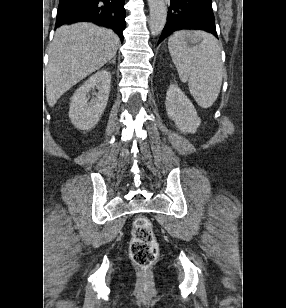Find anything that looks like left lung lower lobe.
I'll return each instance as SVG.
<instances>
[{"label": "left lung lower lobe", "instance_id": "obj_1", "mask_svg": "<svg viewBox=\"0 0 286 308\" xmlns=\"http://www.w3.org/2000/svg\"><path fill=\"white\" fill-rule=\"evenodd\" d=\"M205 30L217 37L211 0H170L167 23L158 44L172 32Z\"/></svg>", "mask_w": 286, "mask_h": 308}]
</instances>
